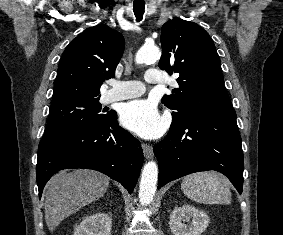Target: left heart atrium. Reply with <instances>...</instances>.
<instances>
[{
	"label": "left heart atrium",
	"mask_w": 283,
	"mask_h": 235,
	"mask_svg": "<svg viewBox=\"0 0 283 235\" xmlns=\"http://www.w3.org/2000/svg\"><path fill=\"white\" fill-rule=\"evenodd\" d=\"M120 120L124 127L145 139L161 136L166 128L164 117L156 105L148 100L126 103L120 111Z\"/></svg>",
	"instance_id": "39dd6f15"
}]
</instances>
